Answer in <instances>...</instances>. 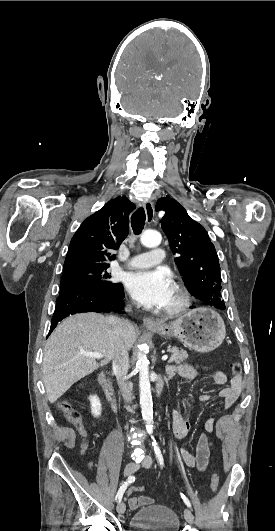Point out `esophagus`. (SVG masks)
<instances>
[{
  "label": "esophagus",
  "instance_id": "obj_1",
  "mask_svg": "<svg viewBox=\"0 0 275 531\" xmlns=\"http://www.w3.org/2000/svg\"><path fill=\"white\" fill-rule=\"evenodd\" d=\"M145 213H146V221L147 223H152L154 219V206L151 201H147L144 204ZM143 324L146 328H157L159 326V323L154 321V319L149 317H144Z\"/></svg>",
  "mask_w": 275,
  "mask_h": 531
}]
</instances>
